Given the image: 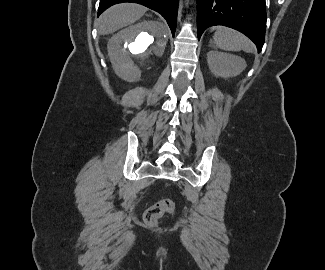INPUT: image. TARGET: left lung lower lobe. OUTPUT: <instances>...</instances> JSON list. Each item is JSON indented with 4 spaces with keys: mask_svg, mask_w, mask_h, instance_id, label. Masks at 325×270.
<instances>
[{
    "mask_svg": "<svg viewBox=\"0 0 325 270\" xmlns=\"http://www.w3.org/2000/svg\"><path fill=\"white\" fill-rule=\"evenodd\" d=\"M265 0H197V34L223 25L249 37L261 51L266 29Z\"/></svg>",
    "mask_w": 325,
    "mask_h": 270,
    "instance_id": "1",
    "label": "left lung lower lobe"
}]
</instances>
